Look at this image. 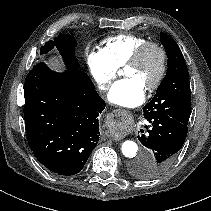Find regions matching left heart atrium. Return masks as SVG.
<instances>
[{"label": "left heart atrium", "mask_w": 211, "mask_h": 211, "mask_svg": "<svg viewBox=\"0 0 211 211\" xmlns=\"http://www.w3.org/2000/svg\"><path fill=\"white\" fill-rule=\"evenodd\" d=\"M146 88L133 77L117 81L108 93V100L117 106L135 107L145 98Z\"/></svg>", "instance_id": "39dd6f15"}]
</instances>
